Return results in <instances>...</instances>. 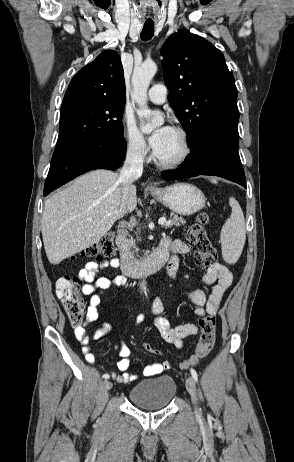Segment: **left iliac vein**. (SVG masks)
<instances>
[{
    "label": "left iliac vein",
    "instance_id": "4c4485c4",
    "mask_svg": "<svg viewBox=\"0 0 294 462\" xmlns=\"http://www.w3.org/2000/svg\"><path fill=\"white\" fill-rule=\"evenodd\" d=\"M185 384H186L187 391L191 395L195 411H198V407H197V391H196V386H195L193 378L192 377H187Z\"/></svg>",
    "mask_w": 294,
    "mask_h": 462
}]
</instances>
